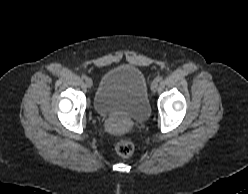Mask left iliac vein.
I'll list each match as a JSON object with an SVG mask.
<instances>
[{
    "label": "left iliac vein",
    "instance_id": "left-iliac-vein-1",
    "mask_svg": "<svg viewBox=\"0 0 248 194\" xmlns=\"http://www.w3.org/2000/svg\"><path fill=\"white\" fill-rule=\"evenodd\" d=\"M158 88H159L158 83L156 81H153L152 84H151V90L153 92H156L158 90Z\"/></svg>",
    "mask_w": 248,
    "mask_h": 194
}]
</instances>
